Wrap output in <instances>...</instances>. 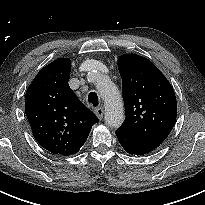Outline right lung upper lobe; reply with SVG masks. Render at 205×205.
Listing matches in <instances>:
<instances>
[{"instance_id":"right-lung-upper-lobe-1","label":"right lung upper lobe","mask_w":205,"mask_h":205,"mask_svg":"<svg viewBox=\"0 0 205 205\" xmlns=\"http://www.w3.org/2000/svg\"><path fill=\"white\" fill-rule=\"evenodd\" d=\"M70 59L60 58L43 67L25 95V112L38 143L49 152L77 153L98 118L68 85Z\"/></svg>"}]
</instances>
